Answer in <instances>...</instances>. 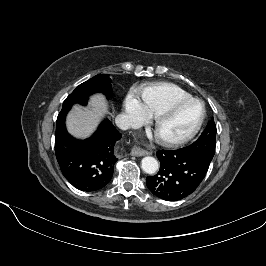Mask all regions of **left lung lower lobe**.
Listing matches in <instances>:
<instances>
[{"label": "left lung lower lobe", "mask_w": 266, "mask_h": 266, "mask_svg": "<svg viewBox=\"0 0 266 266\" xmlns=\"http://www.w3.org/2000/svg\"><path fill=\"white\" fill-rule=\"evenodd\" d=\"M159 172L146 178L148 189L158 198L176 201L191 193L203 181L209 165L183 149L157 152Z\"/></svg>", "instance_id": "0a47b994"}]
</instances>
